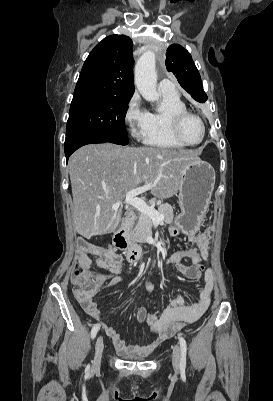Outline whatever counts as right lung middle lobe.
I'll return each mask as SVG.
<instances>
[{"label": "right lung middle lobe", "mask_w": 273, "mask_h": 401, "mask_svg": "<svg viewBox=\"0 0 273 401\" xmlns=\"http://www.w3.org/2000/svg\"><path fill=\"white\" fill-rule=\"evenodd\" d=\"M131 98L80 95L71 102L66 139L94 136L110 143L128 144L125 115Z\"/></svg>", "instance_id": "right-lung-middle-lobe-1"}]
</instances>
